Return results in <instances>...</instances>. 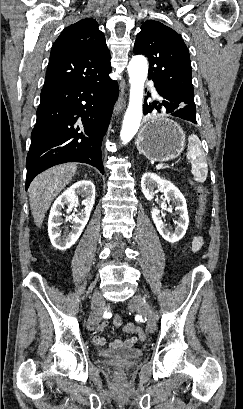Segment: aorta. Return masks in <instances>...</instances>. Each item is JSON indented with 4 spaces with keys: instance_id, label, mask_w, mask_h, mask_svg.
I'll return each mask as SVG.
<instances>
[{
    "instance_id": "aorta-1",
    "label": "aorta",
    "mask_w": 243,
    "mask_h": 409,
    "mask_svg": "<svg viewBox=\"0 0 243 409\" xmlns=\"http://www.w3.org/2000/svg\"><path fill=\"white\" fill-rule=\"evenodd\" d=\"M130 95L129 105L126 110L120 139L124 144L131 141L137 133L142 119V104L144 83L148 74V62L144 56L132 57L128 65Z\"/></svg>"
}]
</instances>
